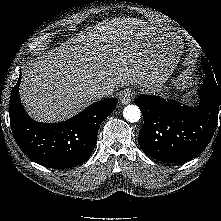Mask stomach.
<instances>
[{
	"mask_svg": "<svg viewBox=\"0 0 221 221\" xmlns=\"http://www.w3.org/2000/svg\"><path fill=\"white\" fill-rule=\"evenodd\" d=\"M145 36L150 56L145 83L148 89L158 92L173 73L183 50V42L168 29L150 28Z\"/></svg>",
	"mask_w": 221,
	"mask_h": 221,
	"instance_id": "0dacf381",
	"label": "stomach"
}]
</instances>
